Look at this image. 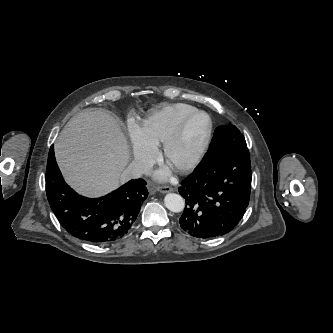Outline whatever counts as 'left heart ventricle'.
Here are the masks:
<instances>
[{"label": "left heart ventricle", "mask_w": 333, "mask_h": 333, "mask_svg": "<svg viewBox=\"0 0 333 333\" xmlns=\"http://www.w3.org/2000/svg\"><path fill=\"white\" fill-rule=\"evenodd\" d=\"M207 126L204 116H196L188 124L184 138L173 155L174 163L181 164L189 159L200 142Z\"/></svg>", "instance_id": "obj_1"}]
</instances>
